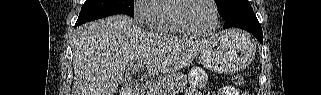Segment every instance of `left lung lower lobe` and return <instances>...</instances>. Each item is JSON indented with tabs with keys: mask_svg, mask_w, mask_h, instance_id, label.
Segmentation results:
<instances>
[{
	"mask_svg": "<svg viewBox=\"0 0 321 95\" xmlns=\"http://www.w3.org/2000/svg\"><path fill=\"white\" fill-rule=\"evenodd\" d=\"M230 27L244 29L252 33L260 43L263 42L262 28L251 7L237 11L225 19L224 28Z\"/></svg>",
	"mask_w": 321,
	"mask_h": 95,
	"instance_id": "obj_1",
	"label": "left lung lower lobe"
}]
</instances>
